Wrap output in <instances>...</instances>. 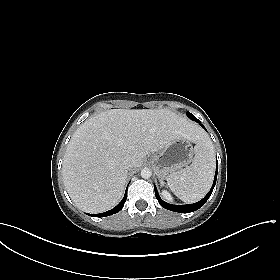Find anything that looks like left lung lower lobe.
<instances>
[{
    "instance_id": "left-lung-lower-lobe-1",
    "label": "left lung lower lobe",
    "mask_w": 280,
    "mask_h": 280,
    "mask_svg": "<svg viewBox=\"0 0 280 280\" xmlns=\"http://www.w3.org/2000/svg\"><path fill=\"white\" fill-rule=\"evenodd\" d=\"M191 119L194 120V121H196V122H199V120H198L197 118H195L194 116H191ZM200 125L204 128V126H203L202 124H200ZM217 172H218V165H217V167H216L215 178H214V182H213V185H212L210 191L208 192V194H207L202 200H200V201L197 202V203L189 204V205H172V204H168V203L164 202V201L160 198V196H159V194H158V192H157V189H156V187L154 186L155 196H156V198H157L159 204H160L162 207H164V208H166V209H168V210L175 211V212H180V213H189V212L196 211V210H198L200 207H202V206L206 203V201L208 200V198L210 197V195H211V193H212V191H213V189H214V186H215V184H216Z\"/></svg>"
}]
</instances>
